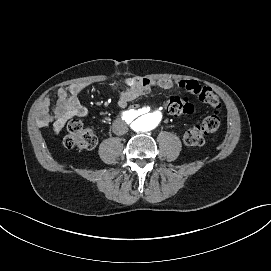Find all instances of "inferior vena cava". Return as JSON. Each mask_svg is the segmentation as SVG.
Masks as SVG:
<instances>
[{
  "label": "inferior vena cava",
  "mask_w": 271,
  "mask_h": 271,
  "mask_svg": "<svg viewBox=\"0 0 271 271\" xmlns=\"http://www.w3.org/2000/svg\"><path fill=\"white\" fill-rule=\"evenodd\" d=\"M112 130L116 135H123L127 133L128 127L122 120H116L112 125Z\"/></svg>",
  "instance_id": "inferior-vena-cava-1"
}]
</instances>
